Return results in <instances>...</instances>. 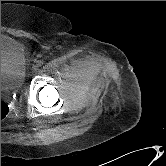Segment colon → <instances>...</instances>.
Returning <instances> with one entry per match:
<instances>
[{
	"label": "colon",
	"mask_w": 166,
	"mask_h": 166,
	"mask_svg": "<svg viewBox=\"0 0 166 166\" xmlns=\"http://www.w3.org/2000/svg\"><path fill=\"white\" fill-rule=\"evenodd\" d=\"M9 113V107L7 103L1 100V120H3Z\"/></svg>",
	"instance_id": "1"
}]
</instances>
